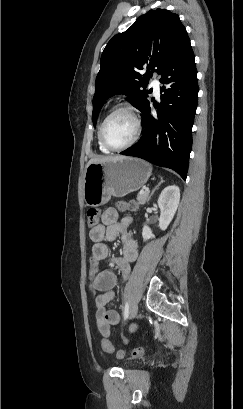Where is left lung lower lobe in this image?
<instances>
[{
    "instance_id": "1",
    "label": "left lung lower lobe",
    "mask_w": 243,
    "mask_h": 409,
    "mask_svg": "<svg viewBox=\"0 0 243 409\" xmlns=\"http://www.w3.org/2000/svg\"><path fill=\"white\" fill-rule=\"evenodd\" d=\"M161 104L153 112L148 100L142 109L140 140L121 152L187 177L192 147V126L197 108V70L188 40L161 73Z\"/></svg>"
}]
</instances>
